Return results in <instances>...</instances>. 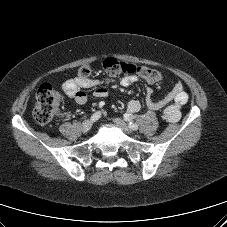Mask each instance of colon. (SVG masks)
<instances>
[{
    "mask_svg": "<svg viewBox=\"0 0 227 227\" xmlns=\"http://www.w3.org/2000/svg\"><path fill=\"white\" fill-rule=\"evenodd\" d=\"M104 71L109 76L139 75L148 82L158 83L162 81V74L147 66H138L132 63L110 57L103 62ZM92 73L89 65L81 66L77 71V78H88ZM63 96L50 84H43L37 91L33 117L40 124L49 123L59 112Z\"/></svg>",
    "mask_w": 227,
    "mask_h": 227,
    "instance_id": "1",
    "label": "colon"
}]
</instances>
